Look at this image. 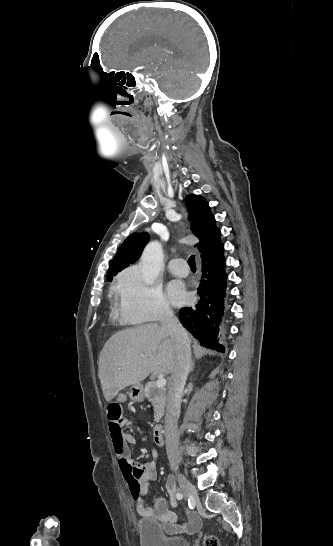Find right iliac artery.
<instances>
[{
	"label": "right iliac artery",
	"mask_w": 333,
	"mask_h": 546,
	"mask_svg": "<svg viewBox=\"0 0 333 546\" xmlns=\"http://www.w3.org/2000/svg\"><path fill=\"white\" fill-rule=\"evenodd\" d=\"M176 498H177L178 500H181V499L183 498V494L180 493V492L176 493Z\"/></svg>",
	"instance_id": "82829eb1"
}]
</instances>
